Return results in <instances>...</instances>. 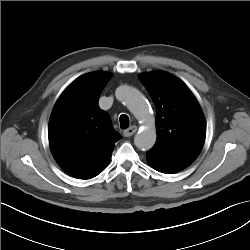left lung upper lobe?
<instances>
[{
    "instance_id": "left-lung-upper-lobe-1",
    "label": "left lung upper lobe",
    "mask_w": 250,
    "mask_h": 250,
    "mask_svg": "<svg viewBox=\"0 0 250 250\" xmlns=\"http://www.w3.org/2000/svg\"><path fill=\"white\" fill-rule=\"evenodd\" d=\"M139 78L157 111V140L151 151L196 159L204 145L206 124L190 89L164 71L143 73Z\"/></svg>"
}]
</instances>
